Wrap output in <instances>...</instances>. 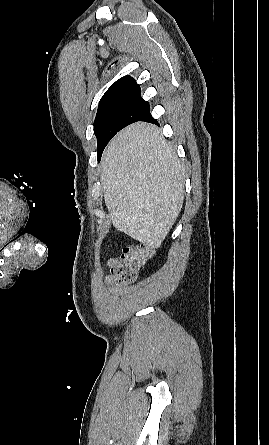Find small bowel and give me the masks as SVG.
Instances as JSON below:
<instances>
[{
    "instance_id": "obj_1",
    "label": "small bowel",
    "mask_w": 269,
    "mask_h": 445,
    "mask_svg": "<svg viewBox=\"0 0 269 445\" xmlns=\"http://www.w3.org/2000/svg\"><path fill=\"white\" fill-rule=\"evenodd\" d=\"M117 262H118L117 259H111L107 262V266L110 268H114L116 266ZM105 282L109 286L112 285V278L110 275L105 276Z\"/></svg>"
}]
</instances>
